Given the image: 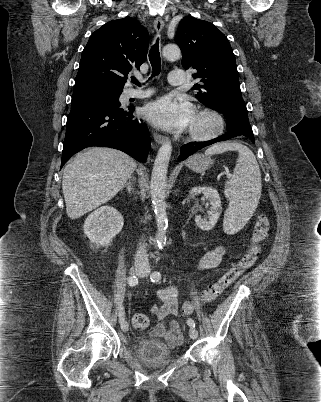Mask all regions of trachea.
Instances as JSON below:
<instances>
[{
    "mask_svg": "<svg viewBox=\"0 0 321 402\" xmlns=\"http://www.w3.org/2000/svg\"><path fill=\"white\" fill-rule=\"evenodd\" d=\"M149 60L152 66V76H157L161 72V58H160V52H159V38H157L155 44L152 45L150 52H149ZM132 82L134 84H138L139 86L141 85L138 83L136 78H132Z\"/></svg>",
    "mask_w": 321,
    "mask_h": 402,
    "instance_id": "trachea-1",
    "label": "trachea"
}]
</instances>
